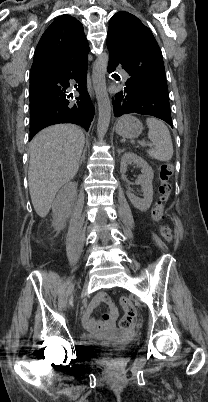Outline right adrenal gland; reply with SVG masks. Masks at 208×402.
<instances>
[{
    "mask_svg": "<svg viewBox=\"0 0 208 402\" xmlns=\"http://www.w3.org/2000/svg\"><path fill=\"white\" fill-rule=\"evenodd\" d=\"M85 152H86V150H84V152L81 156L80 164H82V162H84V160H85Z\"/></svg>",
    "mask_w": 208,
    "mask_h": 402,
    "instance_id": "obj_1",
    "label": "right adrenal gland"
}]
</instances>
